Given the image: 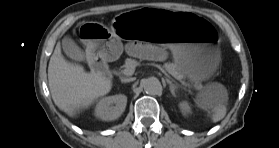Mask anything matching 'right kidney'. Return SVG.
<instances>
[{
	"label": "right kidney",
	"instance_id": "right-kidney-1",
	"mask_svg": "<svg viewBox=\"0 0 279 148\" xmlns=\"http://www.w3.org/2000/svg\"><path fill=\"white\" fill-rule=\"evenodd\" d=\"M127 97L123 94L109 96L101 99L95 108V115L105 121L119 118L125 111Z\"/></svg>",
	"mask_w": 279,
	"mask_h": 148
}]
</instances>
